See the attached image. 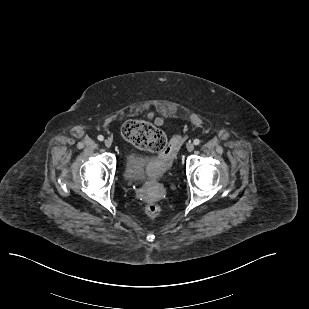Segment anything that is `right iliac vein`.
Returning <instances> with one entry per match:
<instances>
[{
	"label": "right iliac vein",
	"mask_w": 309,
	"mask_h": 309,
	"mask_svg": "<svg viewBox=\"0 0 309 309\" xmlns=\"http://www.w3.org/2000/svg\"><path fill=\"white\" fill-rule=\"evenodd\" d=\"M104 145H105L107 148H110L111 145H112V142H111L110 140L106 139V140L104 141Z\"/></svg>",
	"instance_id": "63e3f726"
}]
</instances>
